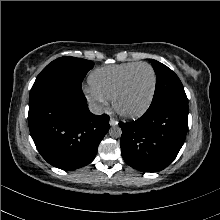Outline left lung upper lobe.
I'll return each mask as SVG.
<instances>
[{
    "instance_id": "5c2ea615",
    "label": "left lung upper lobe",
    "mask_w": 220,
    "mask_h": 220,
    "mask_svg": "<svg viewBox=\"0 0 220 220\" xmlns=\"http://www.w3.org/2000/svg\"><path fill=\"white\" fill-rule=\"evenodd\" d=\"M151 63L156 73V88L150 107L172 104L188 110V99L178 76L156 60Z\"/></svg>"
}]
</instances>
